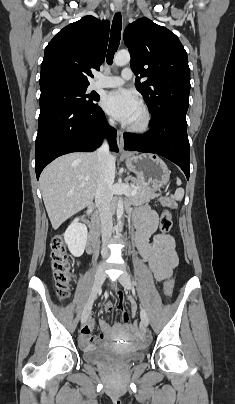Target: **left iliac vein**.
Instances as JSON below:
<instances>
[{
    "label": "left iliac vein",
    "mask_w": 235,
    "mask_h": 404,
    "mask_svg": "<svg viewBox=\"0 0 235 404\" xmlns=\"http://www.w3.org/2000/svg\"><path fill=\"white\" fill-rule=\"evenodd\" d=\"M119 282L126 290L132 289V283H131L130 277L127 273H123L119 277ZM140 317H141L142 324L147 327L149 324V319H148L146 311L143 308L141 309Z\"/></svg>",
    "instance_id": "1"
}]
</instances>
